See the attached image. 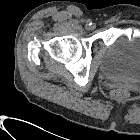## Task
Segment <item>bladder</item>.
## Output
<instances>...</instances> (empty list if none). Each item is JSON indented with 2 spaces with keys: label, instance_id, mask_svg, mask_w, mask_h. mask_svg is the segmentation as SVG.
I'll return each mask as SVG.
<instances>
[{
  "label": "bladder",
  "instance_id": "obj_1",
  "mask_svg": "<svg viewBox=\"0 0 140 140\" xmlns=\"http://www.w3.org/2000/svg\"><path fill=\"white\" fill-rule=\"evenodd\" d=\"M101 70L109 77L140 81V36L133 33L119 35L107 47Z\"/></svg>",
  "mask_w": 140,
  "mask_h": 140
}]
</instances>
